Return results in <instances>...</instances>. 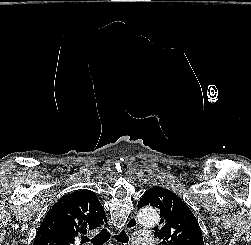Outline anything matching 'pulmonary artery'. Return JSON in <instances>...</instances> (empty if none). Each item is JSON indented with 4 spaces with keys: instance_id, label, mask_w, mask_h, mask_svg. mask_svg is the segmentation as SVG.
<instances>
[{
    "instance_id": "obj_1",
    "label": "pulmonary artery",
    "mask_w": 251,
    "mask_h": 245,
    "mask_svg": "<svg viewBox=\"0 0 251 245\" xmlns=\"http://www.w3.org/2000/svg\"><path fill=\"white\" fill-rule=\"evenodd\" d=\"M133 239L135 245H154L155 239L144 232H135L133 233Z\"/></svg>"
}]
</instances>
